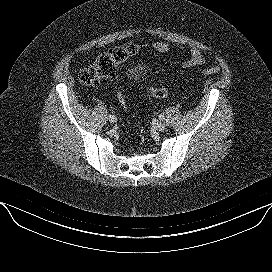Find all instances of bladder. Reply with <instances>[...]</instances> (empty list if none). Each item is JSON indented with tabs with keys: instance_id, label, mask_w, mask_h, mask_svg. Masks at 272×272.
Wrapping results in <instances>:
<instances>
[{
	"instance_id": "31cf9c89",
	"label": "bladder",
	"mask_w": 272,
	"mask_h": 272,
	"mask_svg": "<svg viewBox=\"0 0 272 272\" xmlns=\"http://www.w3.org/2000/svg\"><path fill=\"white\" fill-rule=\"evenodd\" d=\"M147 75V67L144 64L137 63L131 65L127 71L126 76L130 82L138 83Z\"/></svg>"
}]
</instances>
